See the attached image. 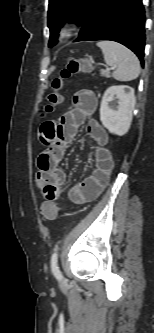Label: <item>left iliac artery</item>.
<instances>
[{"mask_svg":"<svg viewBox=\"0 0 154 333\" xmlns=\"http://www.w3.org/2000/svg\"><path fill=\"white\" fill-rule=\"evenodd\" d=\"M51 269L57 279H62V274L58 267V251L55 250L51 256Z\"/></svg>","mask_w":154,"mask_h":333,"instance_id":"1","label":"left iliac artery"}]
</instances>
